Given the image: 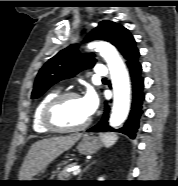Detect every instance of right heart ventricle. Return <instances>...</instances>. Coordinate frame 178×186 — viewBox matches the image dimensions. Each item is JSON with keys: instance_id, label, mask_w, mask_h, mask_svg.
I'll list each match as a JSON object with an SVG mask.
<instances>
[{"instance_id": "right-heart-ventricle-1", "label": "right heart ventricle", "mask_w": 178, "mask_h": 186, "mask_svg": "<svg viewBox=\"0 0 178 186\" xmlns=\"http://www.w3.org/2000/svg\"><path fill=\"white\" fill-rule=\"evenodd\" d=\"M59 92L58 91H52L45 95L35 106L33 115H32V126L34 131L40 134H48L50 131L42 124L41 121V114L44 106L46 103L55 95H57Z\"/></svg>"}]
</instances>
